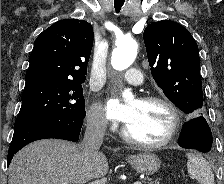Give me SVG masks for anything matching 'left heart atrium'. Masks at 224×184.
Returning a JSON list of instances; mask_svg holds the SVG:
<instances>
[{"label":"left heart atrium","mask_w":224,"mask_h":184,"mask_svg":"<svg viewBox=\"0 0 224 184\" xmlns=\"http://www.w3.org/2000/svg\"><path fill=\"white\" fill-rule=\"evenodd\" d=\"M135 108L132 103H121L116 99H112L108 102L107 114L111 119L123 122L127 124L133 114Z\"/></svg>","instance_id":"obj_1"}]
</instances>
